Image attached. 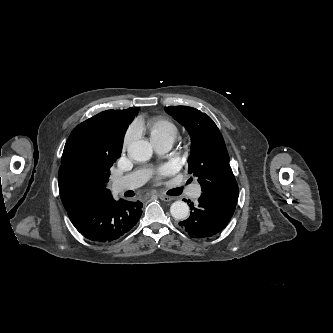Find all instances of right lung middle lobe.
<instances>
[{"label": "right lung middle lobe", "mask_w": 333, "mask_h": 333, "mask_svg": "<svg viewBox=\"0 0 333 333\" xmlns=\"http://www.w3.org/2000/svg\"><path fill=\"white\" fill-rule=\"evenodd\" d=\"M137 112L107 110L87 119L83 141L91 146L78 148L73 158L75 167L83 173L109 178L112 164L121 155L125 132Z\"/></svg>", "instance_id": "obj_1"}]
</instances>
